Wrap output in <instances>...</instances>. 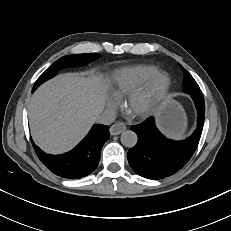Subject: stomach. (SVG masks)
I'll return each mask as SVG.
<instances>
[{
  "label": "stomach",
  "mask_w": 231,
  "mask_h": 231,
  "mask_svg": "<svg viewBox=\"0 0 231 231\" xmlns=\"http://www.w3.org/2000/svg\"><path fill=\"white\" fill-rule=\"evenodd\" d=\"M157 125L167 136L180 139L186 129V115L182 106L172 97H167L156 113Z\"/></svg>",
  "instance_id": "0dacf381"
}]
</instances>
